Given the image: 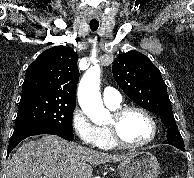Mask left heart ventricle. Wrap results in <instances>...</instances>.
Instances as JSON below:
<instances>
[{"instance_id":"b2bd125f","label":"left heart ventricle","mask_w":194,"mask_h":178,"mask_svg":"<svg viewBox=\"0 0 194 178\" xmlns=\"http://www.w3.org/2000/svg\"><path fill=\"white\" fill-rule=\"evenodd\" d=\"M112 118H110L109 123ZM121 134L128 142L142 143L152 134V126L145 115L137 111L129 112L121 123Z\"/></svg>"}]
</instances>
